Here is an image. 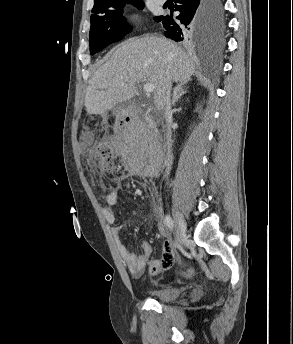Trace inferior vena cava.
I'll return each mask as SVG.
<instances>
[{"mask_svg": "<svg viewBox=\"0 0 293 344\" xmlns=\"http://www.w3.org/2000/svg\"><path fill=\"white\" fill-rule=\"evenodd\" d=\"M170 93H171V81H167L161 95V101L163 104L164 109V115L165 120L167 124V154H166V169L164 177L168 178V175L170 174L171 166L173 163V156L171 151V130H170V123L172 120V110H171V102H170Z\"/></svg>", "mask_w": 293, "mask_h": 344, "instance_id": "inferior-vena-cava-1", "label": "inferior vena cava"}]
</instances>
